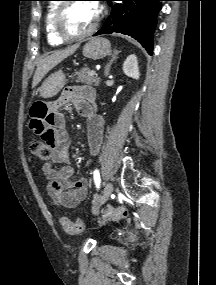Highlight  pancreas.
<instances>
[{
	"label": "pancreas",
	"instance_id": "1",
	"mask_svg": "<svg viewBox=\"0 0 216 285\" xmlns=\"http://www.w3.org/2000/svg\"><path fill=\"white\" fill-rule=\"evenodd\" d=\"M90 70L85 67L80 72H77L73 79L76 83H83V84H89V85H95L98 86L100 83V79L97 75L89 76L88 73Z\"/></svg>",
	"mask_w": 216,
	"mask_h": 285
}]
</instances>
